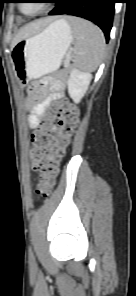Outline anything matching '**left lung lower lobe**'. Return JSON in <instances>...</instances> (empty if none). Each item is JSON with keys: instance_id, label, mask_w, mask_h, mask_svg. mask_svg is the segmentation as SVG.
Here are the masks:
<instances>
[{"instance_id": "obj_1", "label": "left lung lower lobe", "mask_w": 136, "mask_h": 296, "mask_svg": "<svg viewBox=\"0 0 136 296\" xmlns=\"http://www.w3.org/2000/svg\"><path fill=\"white\" fill-rule=\"evenodd\" d=\"M116 2L117 0H56V6L49 15L68 14L88 19L102 29L108 42Z\"/></svg>"}]
</instances>
